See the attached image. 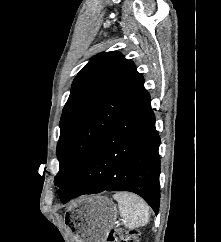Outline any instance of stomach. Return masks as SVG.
<instances>
[{"instance_id":"1","label":"stomach","mask_w":221,"mask_h":242,"mask_svg":"<svg viewBox=\"0 0 221 242\" xmlns=\"http://www.w3.org/2000/svg\"><path fill=\"white\" fill-rule=\"evenodd\" d=\"M70 212V229L75 242H104L117 218L116 205L100 195L79 199Z\"/></svg>"}]
</instances>
